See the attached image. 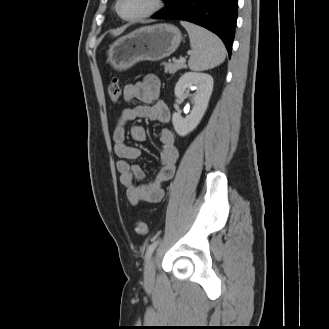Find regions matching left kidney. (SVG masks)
Returning a JSON list of instances; mask_svg holds the SVG:
<instances>
[{
  "label": "left kidney",
  "mask_w": 329,
  "mask_h": 329,
  "mask_svg": "<svg viewBox=\"0 0 329 329\" xmlns=\"http://www.w3.org/2000/svg\"><path fill=\"white\" fill-rule=\"evenodd\" d=\"M190 89L196 90L194 95L189 94ZM212 91L213 78L209 74L186 72L180 77L175 86V96L177 98L191 96L194 106L185 118L180 113H173L172 123L179 136H186L200 123L207 110Z\"/></svg>",
  "instance_id": "1"
}]
</instances>
